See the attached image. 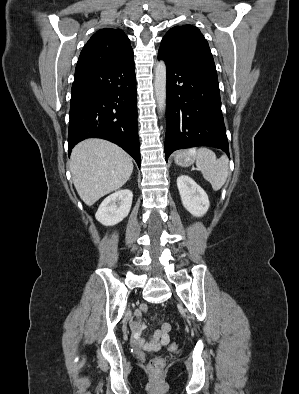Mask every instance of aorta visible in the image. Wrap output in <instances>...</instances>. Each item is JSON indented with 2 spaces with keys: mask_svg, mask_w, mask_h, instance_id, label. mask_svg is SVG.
<instances>
[{
  "mask_svg": "<svg viewBox=\"0 0 299 394\" xmlns=\"http://www.w3.org/2000/svg\"><path fill=\"white\" fill-rule=\"evenodd\" d=\"M154 89L159 112L166 106V65L163 61L156 63L154 68Z\"/></svg>",
  "mask_w": 299,
  "mask_h": 394,
  "instance_id": "obj_1",
  "label": "aorta"
}]
</instances>
